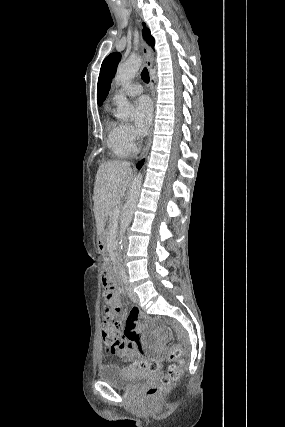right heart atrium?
<instances>
[{"instance_id": "1", "label": "right heart atrium", "mask_w": 285, "mask_h": 427, "mask_svg": "<svg viewBox=\"0 0 285 427\" xmlns=\"http://www.w3.org/2000/svg\"><path fill=\"white\" fill-rule=\"evenodd\" d=\"M122 138L125 145L133 151L136 148L138 136L134 128L129 124L122 125Z\"/></svg>"}]
</instances>
